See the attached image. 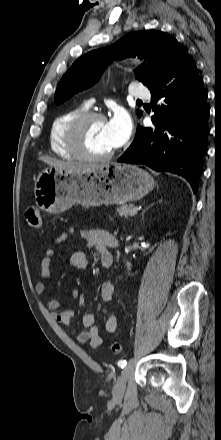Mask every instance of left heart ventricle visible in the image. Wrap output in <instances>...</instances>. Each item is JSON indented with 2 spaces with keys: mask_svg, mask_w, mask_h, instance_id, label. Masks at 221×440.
Returning a JSON list of instances; mask_svg holds the SVG:
<instances>
[{
  "mask_svg": "<svg viewBox=\"0 0 221 440\" xmlns=\"http://www.w3.org/2000/svg\"><path fill=\"white\" fill-rule=\"evenodd\" d=\"M84 144L93 154H105L113 149L107 131V121L93 120L84 131Z\"/></svg>",
  "mask_w": 221,
  "mask_h": 440,
  "instance_id": "obj_1",
  "label": "left heart ventricle"
}]
</instances>
